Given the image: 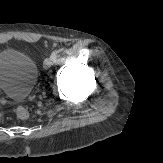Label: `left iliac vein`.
Returning a JSON list of instances; mask_svg holds the SVG:
<instances>
[{"mask_svg":"<svg viewBox=\"0 0 163 163\" xmlns=\"http://www.w3.org/2000/svg\"><path fill=\"white\" fill-rule=\"evenodd\" d=\"M54 63V59L52 56H50L49 58H46L44 61V69H49L51 67V65H53Z\"/></svg>","mask_w":163,"mask_h":163,"instance_id":"1","label":"left iliac vein"}]
</instances>
